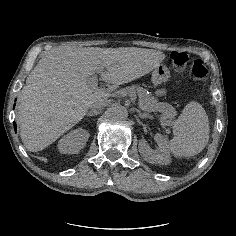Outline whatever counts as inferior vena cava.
Segmentation results:
<instances>
[{"mask_svg": "<svg viewBox=\"0 0 236 236\" xmlns=\"http://www.w3.org/2000/svg\"><path fill=\"white\" fill-rule=\"evenodd\" d=\"M106 105H108V102L101 103L100 105L92 107V108H101V107L106 106Z\"/></svg>", "mask_w": 236, "mask_h": 236, "instance_id": "obj_1", "label": "inferior vena cava"}]
</instances>
